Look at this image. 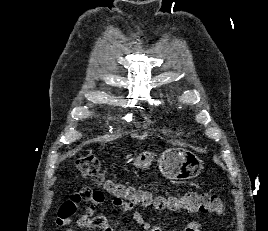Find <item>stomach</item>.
I'll return each instance as SVG.
<instances>
[{
  "mask_svg": "<svg viewBox=\"0 0 268 231\" xmlns=\"http://www.w3.org/2000/svg\"><path fill=\"white\" fill-rule=\"evenodd\" d=\"M153 160H155L154 153L144 151L133 159V165L140 169H146ZM157 162L161 174L173 181L195 178L204 168L202 160L184 148L166 149L157 158Z\"/></svg>",
  "mask_w": 268,
  "mask_h": 231,
  "instance_id": "stomach-1",
  "label": "stomach"
}]
</instances>
